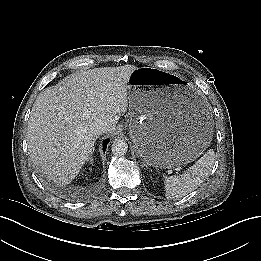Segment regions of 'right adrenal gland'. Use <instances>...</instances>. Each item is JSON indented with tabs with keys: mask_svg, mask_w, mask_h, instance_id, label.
I'll use <instances>...</instances> for the list:
<instances>
[{
	"mask_svg": "<svg viewBox=\"0 0 261 261\" xmlns=\"http://www.w3.org/2000/svg\"><path fill=\"white\" fill-rule=\"evenodd\" d=\"M92 161H93V158L91 157V158H90V162H92Z\"/></svg>",
	"mask_w": 261,
	"mask_h": 261,
	"instance_id": "obj_1",
	"label": "right adrenal gland"
}]
</instances>
